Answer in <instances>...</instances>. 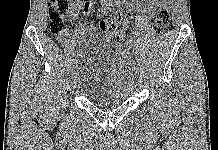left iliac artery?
Instances as JSON below:
<instances>
[{"instance_id": "1", "label": "left iliac artery", "mask_w": 218, "mask_h": 150, "mask_svg": "<svg viewBox=\"0 0 218 150\" xmlns=\"http://www.w3.org/2000/svg\"><path fill=\"white\" fill-rule=\"evenodd\" d=\"M130 73L133 75L135 73V70L134 69H131L130 70Z\"/></svg>"}]
</instances>
